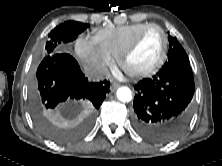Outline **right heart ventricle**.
<instances>
[{
    "instance_id": "e07e8e85",
    "label": "right heart ventricle",
    "mask_w": 222,
    "mask_h": 166,
    "mask_svg": "<svg viewBox=\"0 0 222 166\" xmlns=\"http://www.w3.org/2000/svg\"><path fill=\"white\" fill-rule=\"evenodd\" d=\"M149 23H135L121 27L96 30L92 36L94 42L112 58H118L121 51L133 37Z\"/></svg>"
}]
</instances>
